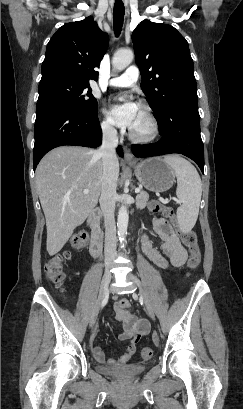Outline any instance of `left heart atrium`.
Here are the masks:
<instances>
[{"mask_svg":"<svg viewBox=\"0 0 243 409\" xmlns=\"http://www.w3.org/2000/svg\"><path fill=\"white\" fill-rule=\"evenodd\" d=\"M138 106L132 100L119 101L118 98L113 99L108 108V116L113 124L118 127L131 128Z\"/></svg>","mask_w":243,"mask_h":409,"instance_id":"39dd6f15","label":"left heart atrium"}]
</instances>
